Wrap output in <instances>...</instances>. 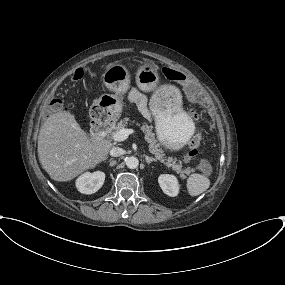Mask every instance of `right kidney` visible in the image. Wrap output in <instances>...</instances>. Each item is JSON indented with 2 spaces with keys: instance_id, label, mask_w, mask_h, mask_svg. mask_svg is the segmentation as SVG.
I'll return each instance as SVG.
<instances>
[{
  "instance_id": "obj_1",
  "label": "right kidney",
  "mask_w": 285,
  "mask_h": 285,
  "mask_svg": "<svg viewBox=\"0 0 285 285\" xmlns=\"http://www.w3.org/2000/svg\"><path fill=\"white\" fill-rule=\"evenodd\" d=\"M104 180L105 174L101 171L86 172L76 180V187L83 194H93L103 186Z\"/></svg>"
}]
</instances>
